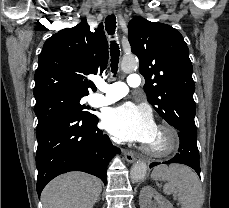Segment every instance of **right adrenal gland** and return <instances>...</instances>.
Masks as SVG:
<instances>
[{"instance_id":"2a0ac1e0","label":"right adrenal gland","mask_w":229,"mask_h":208,"mask_svg":"<svg viewBox=\"0 0 229 208\" xmlns=\"http://www.w3.org/2000/svg\"><path fill=\"white\" fill-rule=\"evenodd\" d=\"M97 202H100V198H98Z\"/></svg>"}]
</instances>
